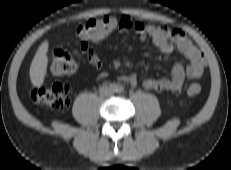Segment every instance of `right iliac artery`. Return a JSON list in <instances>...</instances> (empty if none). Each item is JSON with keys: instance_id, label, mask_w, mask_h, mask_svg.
I'll use <instances>...</instances> for the list:
<instances>
[{"instance_id": "obj_1", "label": "right iliac artery", "mask_w": 231, "mask_h": 170, "mask_svg": "<svg viewBox=\"0 0 231 170\" xmlns=\"http://www.w3.org/2000/svg\"><path fill=\"white\" fill-rule=\"evenodd\" d=\"M117 87H118V86H117L116 83H111V84H110V88H111L112 90H114V91L117 90Z\"/></svg>"}]
</instances>
